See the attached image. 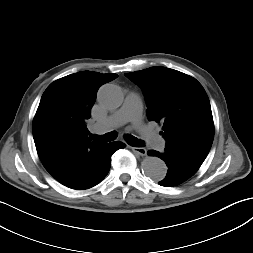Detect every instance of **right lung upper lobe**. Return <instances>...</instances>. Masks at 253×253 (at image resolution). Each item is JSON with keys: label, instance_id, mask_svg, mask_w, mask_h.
Returning a JSON list of instances; mask_svg holds the SVG:
<instances>
[{"label": "right lung upper lobe", "instance_id": "cb5924a9", "mask_svg": "<svg viewBox=\"0 0 253 253\" xmlns=\"http://www.w3.org/2000/svg\"><path fill=\"white\" fill-rule=\"evenodd\" d=\"M117 74L82 71L51 83L33 120V138L46 170L61 184L75 188L89 180L104 144L91 141L86 121L98 88Z\"/></svg>", "mask_w": 253, "mask_h": 253}]
</instances>
